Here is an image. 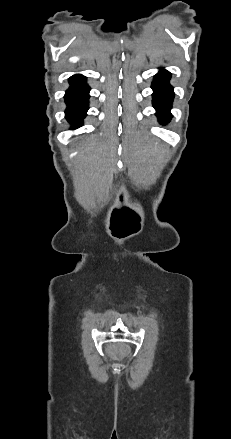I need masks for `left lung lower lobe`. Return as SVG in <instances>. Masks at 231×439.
<instances>
[{
	"mask_svg": "<svg viewBox=\"0 0 231 439\" xmlns=\"http://www.w3.org/2000/svg\"><path fill=\"white\" fill-rule=\"evenodd\" d=\"M171 74L166 70H160L152 83L153 106L156 115L162 124H167L172 118L170 113L171 103L174 98L173 87L169 84Z\"/></svg>",
	"mask_w": 231,
	"mask_h": 439,
	"instance_id": "1",
	"label": "left lung lower lobe"
}]
</instances>
